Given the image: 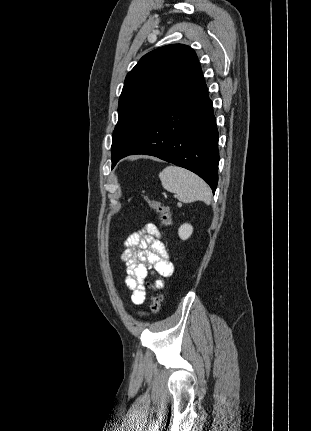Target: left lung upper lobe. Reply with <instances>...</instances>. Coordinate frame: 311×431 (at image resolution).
I'll return each instance as SVG.
<instances>
[{
  "label": "left lung upper lobe",
  "mask_w": 311,
  "mask_h": 431,
  "mask_svg": "<svg viewBox=\"0 0 311 431\" xmlns=\"http://www.w3.org/2000/svg\"><path fill=\"white\" fill-rule=\"evenodd\" d=\"M187 45L160 47L144 55L127 74L119 98V119L112 138V160L123 154L150 122L200 69Z\"/></svg>",
  "instance_id": "5c2ea615"
}]
</instances>
